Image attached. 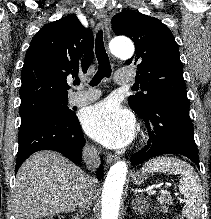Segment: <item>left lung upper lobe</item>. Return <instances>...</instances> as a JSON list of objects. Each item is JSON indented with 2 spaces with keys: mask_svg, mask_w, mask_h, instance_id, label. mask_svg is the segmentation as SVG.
<instances>
[{
  "mask_svg": "<svg viewBox=\"0 0 211 219\" xmlns=\"http://www.w3.org/2000/svg\"><path fill=\"white\" fill-rule=\"evenodd\" d=\"M112 27L116 35H126L135 44V56L126 65L137 66V86L144 91L128 99L138 115L146 113L157 98L186 97L178 45L167 26L154 17L128 10L112 18Z\"/></svg>",
  "mask_w": 211,
  "mask_h": 219,
  "instance_id": "obj_1",
  "label": "left lung upper lobe"
}]
</instances>
